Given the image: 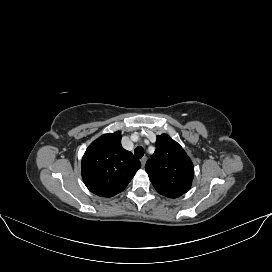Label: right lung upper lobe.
I'll list each match as a JSON object with an SVG mask.
<instances>
[{
	"label": "right lung upper lobe",
	"instance_id": "cb5924a9",
	"mask_svg": "<svg viewBox=\"0 0 272 272\" xmlns=\"http://www.w3.org/2000/svg\"><path fill=\"white\" fill-rule=\"evenodd\" d=\"M121 137L120 131L104 134L83 155V181L98 196L112 197L123 191L141 167L132 153L122 148Z\"/></svg>",
	"mask_w": 272,
	"mask_h": 272
}]
</instances>
